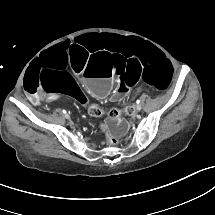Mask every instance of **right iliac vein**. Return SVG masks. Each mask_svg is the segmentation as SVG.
Instances as JSON below:
<instances>
[{
  "label": "right iliac vein",
  "instance_id": "right-iliac-vein-1",
  "mask_svg": "<svg viewBox=\"0 0 215 215\" xmlns=\"http://www.w3.org/2000/svg\"><path fill=\"white\" fill-rule=\"evenodd\" d=\"M69 116L68 115H65V118H68Z\"/></svg>",
  "mask_w": 215,
  "mask_h": 215
}]
</instances>
